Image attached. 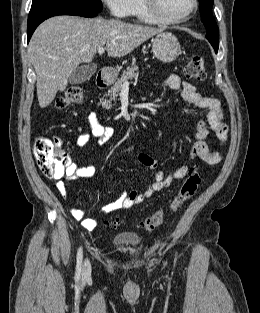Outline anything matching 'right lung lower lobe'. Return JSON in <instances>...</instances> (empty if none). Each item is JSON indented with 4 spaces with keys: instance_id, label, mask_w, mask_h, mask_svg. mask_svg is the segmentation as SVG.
I'll list each match as a JSON object with an SVG mask.
<instances>
[{
    "instance_id": "right-lung-lower-lobe-1",
    "label": "right lung lower lobe",
    "mask_w": 260,
    "mask_h": 313,
    "mask_svg": "<svg viewBox=\"0 0 260 313\" xmlns=\"http://www.w3.org/2000/svg\"><path fill=\"white\" fill-rule=\"evenodd\" d=\"M99 12L82 10L76 8H61V7H41L36 9H31L28 16L27 25V41L29 42L33 32L37 26L48 19L57 15H73L82 17H95Z\"/></svg>"
}]
</instances>
